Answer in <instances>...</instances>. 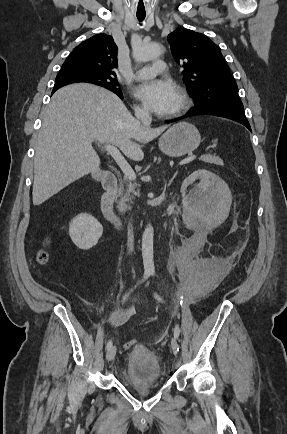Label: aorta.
Instances as JSON below:
<instances>
[{
	"instance_id": "aorta-1",
	"label": "aorta",
	"mask_w": 287,
	"mask_h": 434,
	"mask_svg": "<svg viewBox=\"0 0 287 434\" xmlns=\"http://www.w3.org/2000/svg\"><path fill=\"white\" fill-rule=\"evenodd\" d=\"M163 53L162 46L158 43L142 45L133 50V56L138 62H147L159 57ZM153 236L154 229L151 225L145 228L142 236V258L145 273H154L153 261Z\"/></svg>"
}]
</instances>
